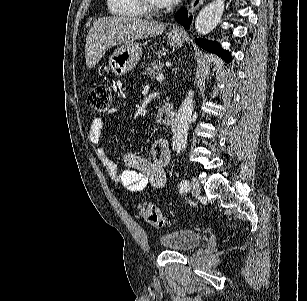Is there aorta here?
Returning a JSON list of instances; mask_svg holds the SVG:
<instances>
[{
  "instance_id": "1",
  "label": "aorta",
  "mask_w": 307,
  "mask_h": 301,
  "mask_svg": "<svg viewBox=\"0 0 307 301\" xmlns=\"http://www.w3.org/2000/svg\"><path fill=\"white\" fill-rule=\"evenodd\" d=\"M224 12V0H212L200 10L196 20L195 28L198 34H208L211 32L222 18ZM194 112V90H189L186 98L182 100L177 116L171 124L173 134L172 142L173 148L177 151H182L187 142L189 132V124Z\"/></svg>"
}]
</instances>
